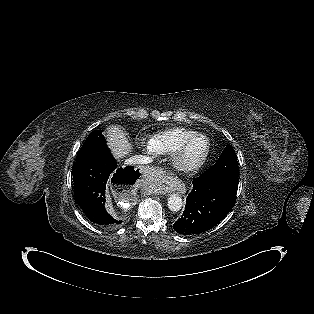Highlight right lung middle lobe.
<instances>
[{
  "mask_svg": "<svg viewBox=\"0 0 314 314\" xmlns=\"http://www.w3.org/2000/svg\"><path fill=\"white\" fill-rule=\"evenodd\" d=\"M104 146H106V141L105 137L102 135V130L91 132L79 150L76 161L85 159Z\"/></svg>",
  "mask_w": 314,
  "mask_h": 314,
  "instance_id": "dd1d6c3e",
  "label": "right lung middle lobe"
}]
</instances>
